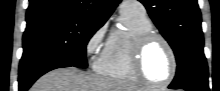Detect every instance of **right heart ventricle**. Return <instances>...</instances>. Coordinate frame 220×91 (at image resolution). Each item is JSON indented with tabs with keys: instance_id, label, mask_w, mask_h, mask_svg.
<instances>
[{
	"instance_id": "e07e8e85",
	"label": "right heart ventricle",
	"mask_w": 220,
	"mask_h": 91,
	"mask_svg": "<svg viewBox=\"0 0 220 91\" xmlns=\"http://www.w3.org/2000/svg\"><path fill=\"white\" fill-rule=\"evenodd\" d=\"M123 27L114 30L97 61L99 74L130 84L140 83L132 68L131 53L135 40L152 32L153 26L146 15L121 13Z\"/></svg>"
}]
</instances>
